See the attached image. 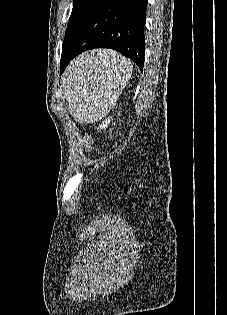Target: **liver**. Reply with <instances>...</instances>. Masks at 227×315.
I'll return each mask as SVG.
<instances>
[{
  "mask_svg": "<svg viewBox=\"0 0 227 315\" xmlns=\"http://www.w3.org/2000/svg\"><path fill=\"white\" fill-rule=\"evenodd\" d=\"M101 51H103V50H97L96 52H101ZM109 51H111V50H109Z\"/></svg>",
  "mask_w": 227,
  "mask_h": 315,
  "instance_id": "1",
  "label": "liver"
}]
</instances>
